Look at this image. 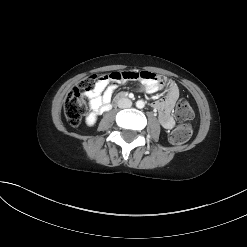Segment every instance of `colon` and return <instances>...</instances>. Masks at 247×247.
I'll use <instances>...</instances> for the list:
<instances>
[{
    "label": "colon",
    "instance_id": "1",
    "mask_svg": "<svg viewBox=\"0 0 247 247\" xmlns=\"http://www.w3.org/2000/svg\"><path fill=\"white\" fill-rule=\"evenodd\" d=\"M101 75L89 76L78 83V85L68 94L64 104V113L71 126H78L83 118L87 97L86 93L93 89ZM194 111L189 102L181 98L177 102L175 116L179 121L190 120ZM192 134V129L188 124H180L170 135V142L175 145L187 142Z\"/></svg>",
    "mask_w": 247,
    "mask_h": 247
}]
</instances>
